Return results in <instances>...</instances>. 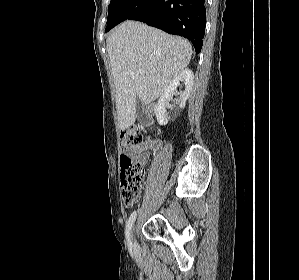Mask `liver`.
Returning <instances> with one entry per match:
<instances>
[{
	"mask_svg": "<svg viewBox=\"0 0 299 280\" xmlns=\"http://www.w3.org/2000/svg\"><path fill=\"white\" fill-rule=\"evenodd\" d=\"M106 42L119 128L125 130L137 118V99L144 105L156 100L188 66L192 46L186 39L132 20L121 23Z\"/></svg>",
	"mask_w": 299,
	"mask_h": 280,
	"instance_id": "liver-1",
	"label": "liver"
}]
</instances>
